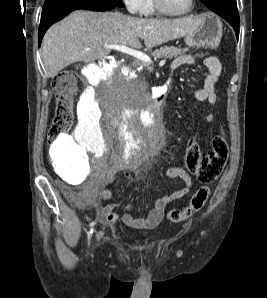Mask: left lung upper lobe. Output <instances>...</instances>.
Instances as JSON below:
<instances>
[{
	"instance_id": "5c2ea615",
	"label": "left lung upper lobe",
	"mask_w": 267,
	"mask_h": 298,
	"mask_svg": "<svg viewBox=\"0 0 267 298\" xmlns=\"http://www.w3.org/2000/svg\"><path fill=\"white\" fill-rule=\"evenodd\" d=\"M216 14H225L230 10H237L236 0H200Z\"/></svg>"
}]
</instances>
